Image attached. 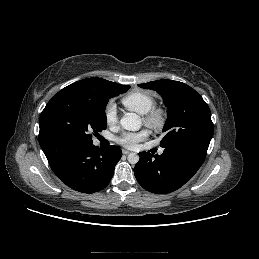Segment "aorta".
<instances>
[{
  "label": "aorta",
  "instance_id": "1",
  "mask_svg": "<svg viewBox=\"0 0 259 259\" xmlns=\"http://www.w3.org/2000/svg\"><path fill=\"white\" fill-rule=\"evenodd\" d=\"M120 125L125 130L138 131L142 126V120L140 116L135 113H127L121 118ZM128 161L130 164L138 163L139 155H137L136 153H130L128 155Z\"/></svg>",
  "mask_w": 259,
  "mask_h": 259
}]
</instances>
